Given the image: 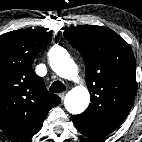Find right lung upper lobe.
<instances>
[{
    "instance_id": "right-lung-upper-lobe-1",
    "label": "right lung upper lobe",
    "mask_w": 142,
    "mask_h": 142,
    "mask_svg": "<svg viewBox=\"0 0 142 142\" xmlns=\"http://www.w3.org/2000/svg\"><path fill=\"white\" fill-rule=\"evenodd\" d=\"M51 38L42 30H15L0 36V128L17 140L35 135L49 110L61 102L31 68Z\"/></svg>"
}]
</instances>
